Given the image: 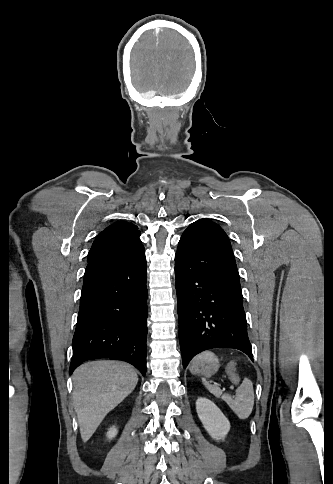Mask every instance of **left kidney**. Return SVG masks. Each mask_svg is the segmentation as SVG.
<instances>
[{"mask_svg":"<svg viewBox=\"0 0 333 484\" xmlns=\"http://www.w3.org/2000/svg\"><path fill=\"white\" fill-rule=\"evenodd\" d=\"M196 410L209 435L215 440L224 439L230 430V422L220 409L209 399L201 397L196 401Z\"/></svg>","mask_w":333,"mask_h":484,"instance_id":"5707ae66","label":"left kidney"}]
</instances>
